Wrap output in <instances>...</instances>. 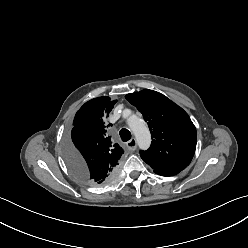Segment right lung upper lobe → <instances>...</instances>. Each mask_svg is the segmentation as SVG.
I'll return each instance as SVG.
<instances>
[{
	"instance_id": "obj_1",
	"label": "right lung upper lobe",
	"mask_w": 248,
	"mask_h": 248,
	"mask_svg": "<svg viewBox=\"0 0 248 248\" xmlns=\"http://www.w3.org/2000/svg\"><path fill=\"white\" fill-rule=\"evenodd\" d=\"M117 100L103 96L86 102L76 113L71 132L70 165L77 164L89 184L103 185L113 180L120 168L123 149L111 141L105 123ZM116 175L107 181L103 179Z\"/></svg>"
}]
</instances>
